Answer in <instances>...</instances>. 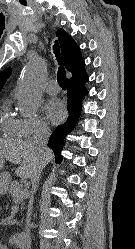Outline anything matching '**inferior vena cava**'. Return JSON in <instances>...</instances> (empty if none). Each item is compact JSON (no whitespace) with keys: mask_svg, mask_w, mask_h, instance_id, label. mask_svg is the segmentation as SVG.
Returning a JSON list of instances; mask_svg holds the SVG:
<instances>
[{"mask_svg":"<svg viewBox=\"0 0 135 249\" xmlns=\"http://www.w3.org/2000/svg\"><path fill=\"white\" fill-rule=\"evenodd\" d=\"M50 136V130L47 127L40 126L33 138L31 139V143L35 147L36 151L40 154L44 153L47 150V142ZM45 163L41 162L40 164L37 165L35 168L33 175L31 177V183H32V192H31V197L29 201V206H28V215H27V224H26V230L24 233V238L22 242V249H29L30 248V229H31V213H32V207H33V199H34V193L37 188V183L39 181L42 169L44 168Z\"/></svg>","mask_w":135,"mask_h":249,"instance_id":"602c4592","label":"inferior vena cava"}]
</instances>
